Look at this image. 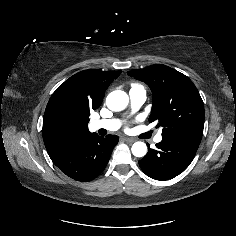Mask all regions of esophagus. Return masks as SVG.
I'll use <instances>...</instances> for the list:
<instances>
[{"label": "esophagus", "instance_id": "esophagus-1", "mask_svg": "<svg viewBox=\"0 0 236 236\" xmlns=\"http://www.w3.org/2000/svg\"><path fill=\"white\" fill-rule=\"evenodd\" d=\"M123 140L128 143H133L135 141V139L130 138V137H123Z\"/></svg>", "mask_w": 236, "mask_h": 236}]
</instances>
